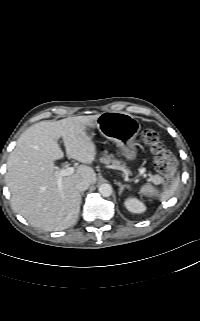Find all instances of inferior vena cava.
<instances>
[{
  "label": "inferior vena cava",
  "instance_id": "1",
  "mask_svg": "<svg viewBox=\"0 0 200 321\" xmlns=\"http://www.w3.org/2000/svg\"><path fill=\"white\" fill-rule=\"evenodd\" d=\"M89 186H90V183L87 179H79L76 182V189L80 192L87 190Z\"/></svg>",
  "mask_w": 200,
  "mask_h": 321
}]
</instances>
